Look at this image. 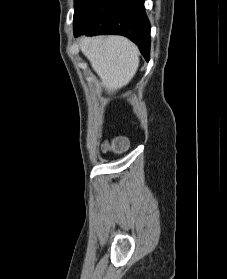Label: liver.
I'll list each match as a JSON object with an SVG mask.
<instances>
[{
    "mask_svg": "<svg viewBox=\"0 0 227 279\" xmlns=\"http://www.w3.org/2000/svg\"><path fill=\"white\" fill-rule=\"evenodd\" d=\"M79 44L108 94L126 86L136 74L139 50L129 39L122 36H84Z\"/></svg>",
    "mask_w": 227,
    "mask_h": 279,
    "instance_id": "liver-1",
    "label": "liver"
}]
</instances>
